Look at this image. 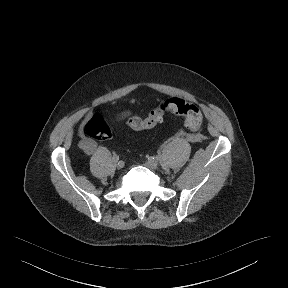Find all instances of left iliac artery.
I'll return each mask as SVG.
<instances>
[{"mask_svg": "<svg viewBox=\"0 0 288 288\" xmlns=\"http://www.w3.org/2000/svg\"><path fill=\"white\" fill-rule=\"evenodd\" d=\"M156 160H159L160 159V156L159 155H156L155 157H154ZM153 158V159H154Z\"/></svg>", "mask_w": 288, "mask_h": 288, "instance_id": "obj_1", "label": "left iliac artery"}]
</instances>
